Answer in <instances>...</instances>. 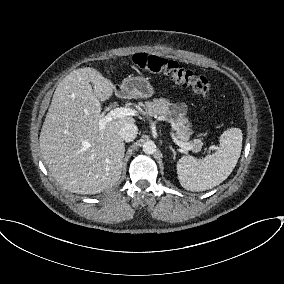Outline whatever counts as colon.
Segmentation results:
<instances>
[{
    "label": "colon",
    "instance_id": "colon-1",
    "mask_svg": "<svg viewBox=\"0 0 284 284\" xmlns=\"http://www.w3.org/2000/svg\"><path fill=\"white\" fill-rule=\"evenodd\" d=\"M133 63L144 71L165 73L176 83L190 87L201 96L208 97L211 93V86L206 77L180 67L176 61L147 53H139L133 57Z\"/></svg>",
    "mask_w": 284,
    "mask_h": 284
}]
</instances>
